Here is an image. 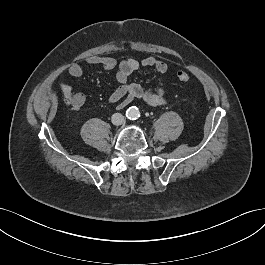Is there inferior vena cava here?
<instances>
[{"instance_id": "obj_1", "label": "inferior vena cava", "mask_w": 265, "mask_h": 265, "mask_svg": "<svg viewBox=\"0 0 265 265\" xmlns=\"http://www.w3.org/2000/svg\"><path fill=\"white\" fill-rule=\"evenodd\" d=\"M111 121L114 125H121L124 122V116L120 113H114L111 117Z\"/></svg>"}]
</instances>
